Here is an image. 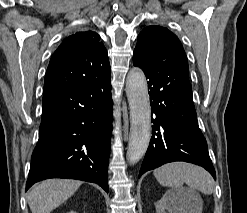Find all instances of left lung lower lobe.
I'll return each mask as SVG.
<instances>
[{"mask_svg":"<svg viewBox=\"0 0 247 213\" xmlns=\"http://www.w3.org/2000/svg\"><path fill=\"white\" fill-rule=\"evenodd\" d=\"M143 71L149 79L154 125L139 177L165 163L185 161L204 167L216 179L207 142L198 126L189 68L150 65Z\"/></svg>","mask_w":247,"mask_h":213,"instance_id":"0a47b994","label":"left lung lower lobe"}]
</instances>
